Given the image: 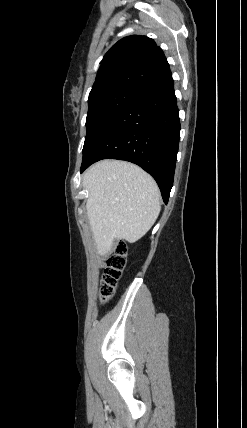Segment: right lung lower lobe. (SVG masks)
<instances>
[{"mask_svg": "<svg viewBox=\"0 0 247 428\" xmlns=\"http://www.w3.org/2000/svg\"><path fill=\"white\" fill-rule=\"evenodd\" d=\"M180 120L171 72L141 91L102 129L83 154L80 172L101 159L139 165L167 204L173 185Z\"/></svg>", "mask_w": 247, "mask_h": 428, "instance_id": "right-lung-lower-lobe-1", "label": "right lung lower lobe"}]
</instances>
